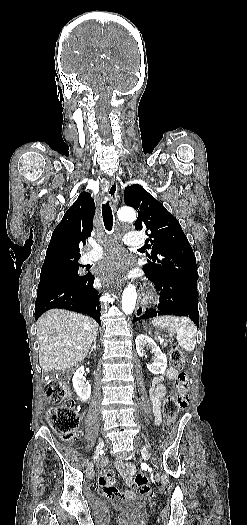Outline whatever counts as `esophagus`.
Returning a JSON list of instances; mask_svg holds the SVG:
<instances>
[{"label": "esophagus", "instance_id": "1", "mask_svg": "<svg viewBox=\"0 0 247 525\" xmlns=\"http://www.w3.org/2000/svg\"><path fill=\"white\" fill-rule=\"evenodd\" d=\"M107 195L111 199L112 203L115 205H117L121 200L118 185L114 180L110 181V186H109V190L107 191ZM144 312H145V307L142 304L138 303L137 309H136V316H141L143 315Z\"/></svg>", "mask_w": 247, "mask_h": 525}]
</instances>
